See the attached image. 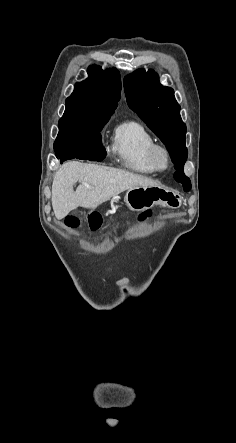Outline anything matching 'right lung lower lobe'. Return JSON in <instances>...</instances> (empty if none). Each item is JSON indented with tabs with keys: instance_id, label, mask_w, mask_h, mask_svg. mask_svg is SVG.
<instances>
[{
	"instance_id": "obj_1",
	"label": "right lung lower lobe",
	"mask_w": 236,
	"mask_h": 443,
	"mask_svg": "<svg viewBox=\"0 0 236 443\" xmlns=\"http://www.w3.org/2000/svg\"><path fill=\"white\" fill-rule=\"evenodd\" d=\"M106 156L105 148L101 145H82L76 147L62 148L56 152V157L60 162L68 159L78 158L91 161H102Z\"/></svg>"
}]
</instances>
